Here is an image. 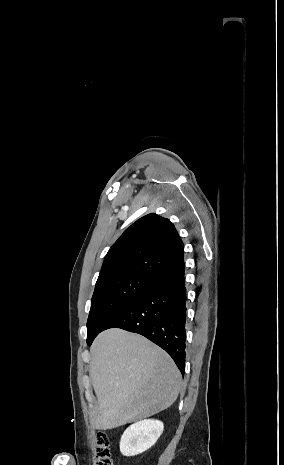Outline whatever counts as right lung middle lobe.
I'll list each match as a JSON object with an SVG mask.
<instances>
[{
  "mask_svg": "<svg viewBox=\"0 0 284 465\" xmlns=\"http://www.w3.org/2000/svg\"><path fill=\"white\" fill-rule=\"evenodd\" d=\"M152 281V278L128 274L96 282L87 321V343H90L107 322L145 290Z\"/></svg>",
  "mask_w": 284,
  "mask_h": 465,
  "instance_id": "dd1d6c3e",
  "label": "right lung middle lobe"
}]
</instances>
